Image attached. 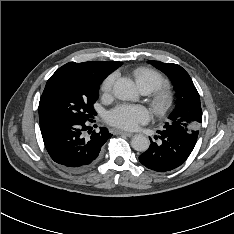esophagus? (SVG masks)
Wrapping results in <instances>:
<instances>
[{"label":"esophagus","instance_id":"34e87169","mask_svg":"<svg viewBox=\"0 0 234 234\" xmlns=\"http://www.w3.org/2000/svg\"><path fill=\"white\" fill-rule=\"evenodd\" d=\"M117 134H119V135H123V136H127V137H131V136H133V133H131V132H126V131H117Z\"/></svg>","mask_w":234,"mask_h":234}]
</instances>
